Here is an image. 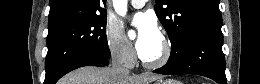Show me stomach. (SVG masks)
Masks as SVG:
<instances>
[{
    "mask_svg": "<svg viewBox=\"0 0 260 84\" xmlns=\"http://www.w3.org/2000/svg\"><path fill=\"white\" fill-rule=\"evenodd\" d=\"M155 84H181V82L173 79L157 80Z\"/></svg>",
    "mask_w": 260,
    "mask_h": 84,
    "instance_id": "0dacf381",
    "label": "stomach"
}]
</instances>
